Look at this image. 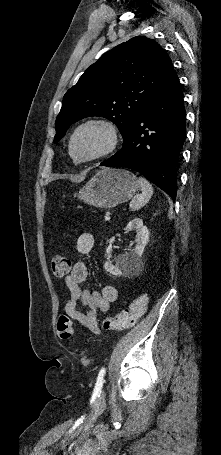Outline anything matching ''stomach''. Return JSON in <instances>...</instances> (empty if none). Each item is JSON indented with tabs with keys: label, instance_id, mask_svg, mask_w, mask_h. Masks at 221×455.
I'll return each mask as SVG.
<instances>
[{
	"label": "stomach",
	"instance_id": "1",
	"mask_svg": "<svg viewBox=\"0 0 221 455\" xmlns=\"http://www.w3.org/2000/svg\"><path fill=\"white\" fill-rule=\"evenodd\" d=\"M140 188L136 176L125 169L99 170L75 196L99 208H113L130 200Z\"/></svg>",
	"mask_w": 221,
	"mask_h": 455
}]
</instances>
